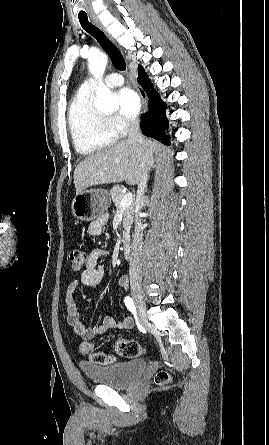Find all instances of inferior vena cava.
Instances as JSON below:
<instances>
[{
	"instance_id": "obj_1",
	"label": "inferior vena cava",
	"mask_w": 269,
	"mask_h": 445,
	"mask_svg": "<svg viewBox=\"0 0 269 445\" xmlns=\"http://www.w3.org/2000/svg\"><path fill=\"white\" fill-rule=\"evenodd\" d=\"M127 140L130 142H137L141 145H145L146 143V140L144 139L140 130L139 119L135 117H132L128 120ZM147 164H148L147 161H145L141 180L138 183L137 199L139 202L143 199V195L147 187V180H148ZM142 245H143V227L140 218L137 217L135 221V230L131 246V258L129 267V277L131 281L141 279Z\"/></svg>"
}]
</instances>
